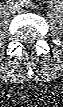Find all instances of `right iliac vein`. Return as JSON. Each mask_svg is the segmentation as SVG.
<instances>
[{
    "label": "right iliac vein",
    "instance_id": "obj_1",
    "mask_svg": "<svg viewBox=\"0 0 63 107\" xmlns=\"http://www.w3.org/2000/svg\"><path fill=\"white\" fill-rule=\"evenodd\" d=\"M16 9L15 8H13V11L12 12H14Z\"/></svg>",
    "mask_w": 63,
    "mask_h": 107
}]
</instances>
